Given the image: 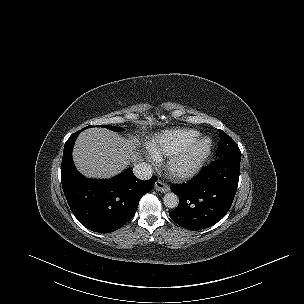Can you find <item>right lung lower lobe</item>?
<instances>
[{
	"instance_id": "right-lung-lower-lobe-1",
	"label": "right lung lower lobe",
	"mask_w": 304,
	"mask_h": 304,
	"mask_svg": "<svg viewBox=\"0 0 304 304\" xmlns=\"http://www.w3.org/2000/svg\"><path fill=\"white\" fill-rule=\"evenodd\" d=\"M78 131L66 141L61 164V182L68 204L86 228L99 232H113L135 214L143 195L150 192L156 176L142 181L130 169L112 179H88L75 168L72 149Z\"/></svg>"
}]
</instances>
